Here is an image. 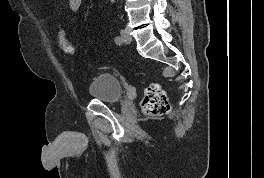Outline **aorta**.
Returning a JSON list of instances; mask_svg holds the SVG:
<instances>
[{
	"mask_svg": "<svg viewBox=\"0 0 264 178\" xmlns=\"http://www.w3.org/2000/svg\"><path fill=\"white\" fill-rule=\"evenodd\" d=\"M111 1V3H114L115 2V0H110Z\"/></svg>",
	"mask_w": 264,
	"mask_h": 178,
	"instance_id": "762f6f07",
	"label": "aorta"
}]
</instances>
